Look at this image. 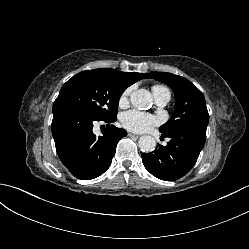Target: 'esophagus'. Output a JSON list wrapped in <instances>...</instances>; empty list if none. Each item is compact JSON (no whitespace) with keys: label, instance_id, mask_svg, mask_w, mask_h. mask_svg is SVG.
I'll return each instance as SVG.
<instances>
[{"label":"esophagus","instance_id":"1","mask_svg":"<svg viewBox=\"0 0 249 249\" xmlns=\"http://www.w3.org/2000/svg\"><path fill=\"white\" fill-rule=\"evenodd\" d=\"M128 136L129 137H139L138 134L132 133V132H128Z\"/></svg>","mask_w":249,"mask_h":249}]
</instances>
